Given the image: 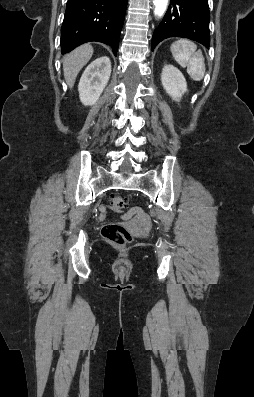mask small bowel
Segmentation results:
<instances>
[{
	"instance_id": "1",
	"label": "small bowel",
	"mask_w": 254,
	"mask_h": 397,
	"mask_svg": "<svg viewBox=\"0 0 254 397\" xmlns=\"http://www.w3.org/2000/svg\"><path fill=\"white\" fill-rule=\"evenodd\" d=\"M99 212H100L99 220L102 222L105 221L107 207L104 205H101L99 207ZM133 215H136L140 219L141 223L145 224L147 222L146 217L144 216L143 212L140 209H135L131 213H129V216H133Z\"/></svg>"
}]
</instances>
